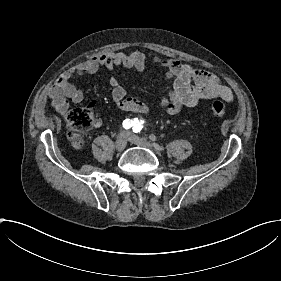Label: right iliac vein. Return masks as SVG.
Instances as JSON below:
<instances>
[{"mask_svg":"<svg viewBox=\"0 0 281 281\" xmlns=\"http://www.w3.org/2000/svg\"><path fill=\"white\" fill-rule=\"evenodd\" d=\"M115 146H116V151L117 152H122L124 147L126 146V137L124 135H119L116 139H115Z\"/></svg>","mask_w":281,"mask_h":281,"instance_id":"1","label":"right iliac vein"}]
</instances>
